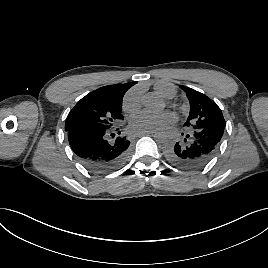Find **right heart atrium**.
Here are the masks:
<instances>
[{"mask_svg": "<svg viewBox=\"0 0 268 268\" xmlns=\"http://www.w3.org/2000/svg\"><path fill=\"white\" fill-rule=\"evenodd\" d=\"M141 107V97L138 90H131L123 100V110L128 113H134Z\"/></svg>", "mask_w": 268, "mask_h": 268, "instance_id": "1", "label": "right heart atrium"}]
</instances>
